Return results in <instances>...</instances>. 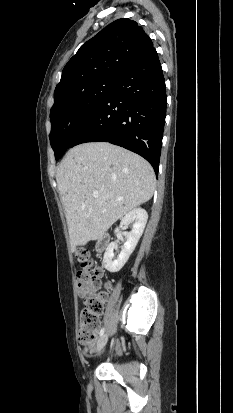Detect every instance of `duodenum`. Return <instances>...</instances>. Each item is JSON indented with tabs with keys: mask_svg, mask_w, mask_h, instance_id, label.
<instances>
[{
	"mask_svg": "<svg viewBox=\"0 0 233 413\" xmlns=\"http://www.w3.org/2000/svg\"><path fill=\"white\" fill-rule=\"evenodd\" d=\"M108 243V236L106 234L101 235L96 243V250L101 252L103 251Z\"/></svg>",
	"mask_w": 233,
	"mask_h": 413,
	"instance_id": "410a0bca",
	"label": "duodenum"
}]
</instances>
